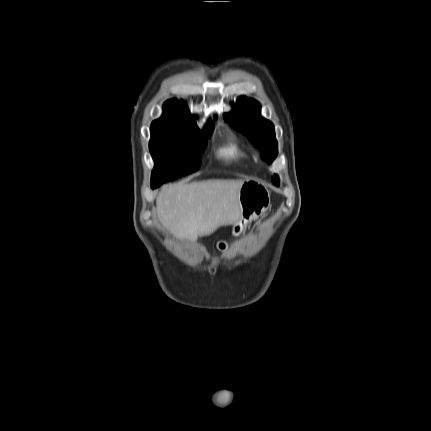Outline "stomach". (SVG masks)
<instances>
[{
	"mask_svg": "<svg viewBox=\"0 0 431 431\" xmlns=\"http://www.w3.org/2000/svg\"><path fill=\"white\" fill-rule=\"evenodd\" d=\"M239 206L241 216L239 221L233 227V235L239 236L244 228L252 220L263 215L270 206V192L265 185L254 180L243 182L239 192ZM217 248L225 250L227 244L218 242Z\"/></svg>",
	"mask_w": 431,
	"mask_h": 431,
	"instance_id": "1",
	"label": "stomach"
}]
</instances>
